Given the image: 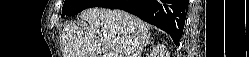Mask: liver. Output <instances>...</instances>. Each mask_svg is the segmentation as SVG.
Masks as SVG:
<instances>
[{
  "instance_id": "liver-1",
  "label": "liver",
  "mask_w": 249,
  "mask_h": 57,
  "mask_svg": "<svg viewBox=\"0 0 249 57\" xmlns=\"http://www.w3.org/2000/svg\"><path fill=\"white\" fill-rule=\"evenodd\" d=\"M80 17L88 27L72 22L62 31L64 57H141L150 41L149 25L123 10L95 7Z\"/></svg>"
}]
</instances>
